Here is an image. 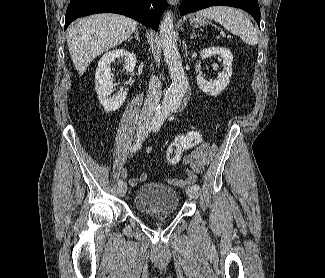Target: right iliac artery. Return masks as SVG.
Wrapping results in <instances>:
<instances>
[{"label":"right iliac artery","mask_w":325,"mask_h":278,"mask_svg":"<svg viewBox=\"0 0 325 278\" xmlns=\"http://www.w3.org/2000/svg\"><path fill=\"white\" fill-rule=\"evenodd\" d=\"M154 125H149L146 129V131L144 132V134H148L149 132H151V130H153ZM143 144V138H139L131 147V152H136L138 151ZM118 185H123V181L122 180H118Z\"/></svg>","instance_id":"right-iliac-artery-1"}]
</instances>
